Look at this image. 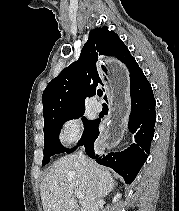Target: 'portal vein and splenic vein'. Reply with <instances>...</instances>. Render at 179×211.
<instances>
[{"instance_id":"18ae733b","label":"portal vein and splenic vein","mask_w":179,"mask_h":211,"mask_svg":"<svg viewBox=\"0 0 179 211\" xmlns=\"http://www.w3.org/2000/svg\"><path fill=\"white\" fill-rule=\"evenodd\" d=\"M76 196H77V198L80 199V200H82V199L84 198V195H83L82 193H80V192H77V193H76Z\"/></svg>"}]
</instances>
